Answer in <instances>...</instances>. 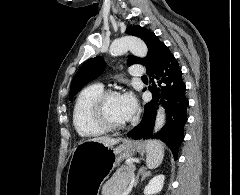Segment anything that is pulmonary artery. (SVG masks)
Instances as JSON below:
<instances>
[{
    "label": "pulmonary artery",
    "instance_id": "e3ab8cb5",
    "mask_svg": "<svg viewBox=\"0 0 240 195\" xmlns=\"http://www.w3.org/2000/svg\"><path fill=\"white\" fill-rule=\"evenodd\" d=\"M145 70L142 68L141 65H133L131 69V75L133 78H138L140 74H144Z\"/></svg>",
    "mask_w": 240,
    "mask_h": 195
}]
</instances>
